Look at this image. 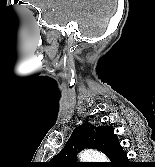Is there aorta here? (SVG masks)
<instances>
[{
  "label": "aorta",
  "instance_id": "762f6f07",
  "mask_svg": "<svg viewBox=\"0 0 155 167\" xmlns=\"http://www.w3.org/2000/svg\"><path fill=\"white\" fill-rule=\"evenodd\" d=\"M79 159L82 162H105L107 158L104 154L96 150H85L80 153Z\"/></svg>",
  "mask_w": 155,
  "mask_h": 167
}]
</instances>
